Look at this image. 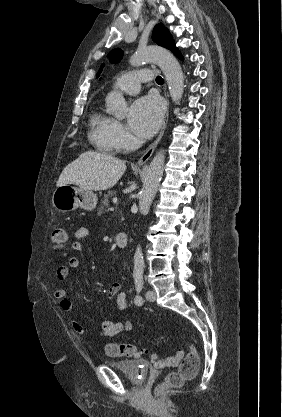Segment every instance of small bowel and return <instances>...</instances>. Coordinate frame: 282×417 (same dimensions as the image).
Masks as SVG:
<instances>
[{
    "mask_svg": "<svg viewBox=\"0 0 282 417\" xmlns=\"http://www.w3.org/2000/svg\"><path fill=\"white\" fill-rule=\"evenodd\" d=\"M90 231L87 227H81L75 232V242L73 243V250L75 252H82L84 249V241L89 237ZM80 265L78 257H70L66 264L61 265L56 270V276L59 280H65L71 269H76ZM67 291L64 288H58L54 291V297L60 302L62 310L67 313L73 311V305L67 298ZM110 299H115L116 305L120 310H125L128 306L127 295L120 282H114L110 285L108 290ZM73 330L81 337L85 335V326L78 319L71 320ZM132 325L126 320L108 319L99 323V337H114L122 331H130ZM114 344V343H112Z\"/></svg>",
    "mask_w": 282,
    "mask_h": 417,
    "instance_id": "obj_1",
    "label": "small bowel"
}]
</instances>
